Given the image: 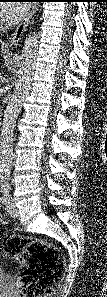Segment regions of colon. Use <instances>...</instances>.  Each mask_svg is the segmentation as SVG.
Returning a JSON list of instances; mask_svg holds the SVG:
<instances>
[{"label":"colon","instance_id":"colon-1","mask_svg":"<svg viewBox=\"0 0 107 297\" xmlns=\"http://www.w3.org/2000/svg\"><path fill=\"white\" fill-rule=\"evenodd\" d=\"M4 254L21 265L18 287L22 297H45L57 287L65 268L63 256L41 239L13 235L2 240Z\"/></svg>","mask_w":107,"mask_h":297}]
</instances>
